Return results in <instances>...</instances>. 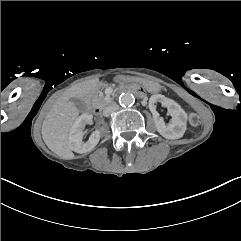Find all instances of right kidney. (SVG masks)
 Masks as SVG:
<instances>
[{
	"instance_id": "right-kidney-1",
	"label": "right kidney",
	"mask_w": 241,
	"mask_h": 241,
	"mask_svg": "<svg viewBox=\"0 0 241 241\" xmlns=\"http://www.w3.org/2000/svg\"><path fill=\"white\" fill-rule=\"evenodd\" d=\"M93 115L84 113L80 115L72 125L69 133V148L77 153H86L91 151L100 140L99 130L94 131L87 142H83V130L86 124H92Z\"/></svg>"
}]
</instances>
